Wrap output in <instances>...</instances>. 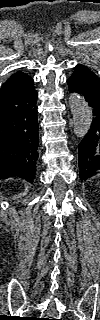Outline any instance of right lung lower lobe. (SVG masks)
<instances>
[{"label":"right lung lower lobe","mask_w":100,"mask_h":320,"mask_svg":"<svg viewBox=\"0 0 100 320\" xmlns=\"http://www.w3.org/2000/svg\"><path fill=\"white\" fill-rule=\"evenodd\" d=\"M37 92L0 100V176L32 182L38 159Z\"/></svg>","instance_id":"right-lung-lower-lobe-1"}]
</instances>
